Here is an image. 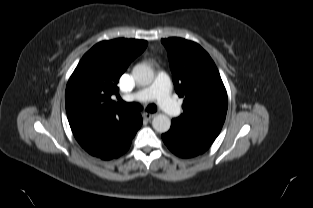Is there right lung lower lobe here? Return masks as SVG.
I'll return each mask as SVG.
<instances>
[{"label":"right lung lower lobe","instance_id":"1","mask_svg":"<svg viewBox=\"0 0 313 208\" xmlns=\"http://www.w3.org/2000/svg\"><path fill=\"white\" fill-rule=\"evenodd\" d=\"M78 143L91 155L103 160L125 153L142 125L139 113L127 117L107 116L93 120L69 122Z\"/></svg>","mask_w":313,"mask_h":208}]
</instances>
